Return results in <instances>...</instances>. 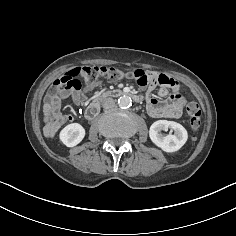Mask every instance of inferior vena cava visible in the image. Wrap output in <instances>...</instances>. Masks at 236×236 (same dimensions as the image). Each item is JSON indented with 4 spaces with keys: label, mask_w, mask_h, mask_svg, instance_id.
Segmentation results:
<instances>
[{
    "label": "inferior vena cava",
    "mask_w": 236,
    "mask_h": 236,
    "mask_svg": "<svg viewBox=\"0 0 236 236\" xmlns=\"http://www.w3.org/2000/svg\"><path fill=\"white\" fill-rule=\"evenodd\" d=\"M115 106V101L113 98H105L102 101V107L105 109H110L113 108Z\"/></svg>",
    "instance_id": "602c4592"
}]
</instances>
